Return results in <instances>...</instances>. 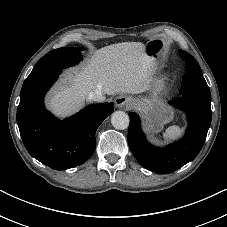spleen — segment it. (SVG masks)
<instances>
[{"mask_svg": "<svg viewBox=\"0 0 227 227\" xmlns=\"http://www.w3.org/2000/svg\"><path fill=\"white\" fill-rule=\"evenodd\" d=\"M182 133H183V128L173 125L166 129V131L163 133V137L166 140H174L178 138Z\"/></svg>", "mask_w": 227, "mask_h": 227, "instance_id": "3e777b00", "label": "spleen"}]
</instances>
